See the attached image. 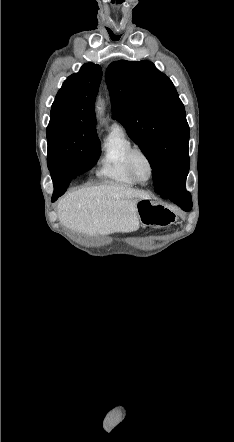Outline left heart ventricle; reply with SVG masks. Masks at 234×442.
Instances as JSON below:
<instances>
[{
	"instance_id": "obj_1",
	"label": "left heart ventricle",
	"mask_w": 234,
	"mask_h": 442,
	"mask_svg": "<svg viewBox=\"0 0 234 442\" xmlns=\"http://www.w3.org/2000/svg\"><path fill=\"white\" fill-rule=\"evenodd\" d=\"M133 168L139 179L146 181L150 176V166L142 154H136L133 158Z\"/></svg>"
}]
</instances>
